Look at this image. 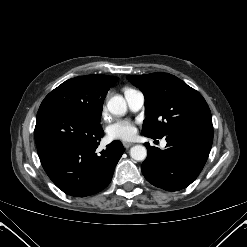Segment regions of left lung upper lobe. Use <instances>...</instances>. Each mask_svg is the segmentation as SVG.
Listing matches in <instances>:
<instances>
[{
  "mask_svg": "<svg viewBox=\"0 0 247 247\" xmlns=\"http://www.w3.org/2000/svg\"><path fill=\"white\" fill-rule=\"evenodd\" d=\"M145 97V118L142 134L162 138L189 125L212 123L210 109L195 89L174 75L152 73L127 75Z\"/></svg>",
  "mask_w": 247,
  "mask_h": 247,
  "instance_id": "1",
  "label": "left lung upper lobe"
}]
</instances>
